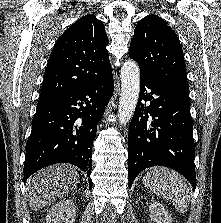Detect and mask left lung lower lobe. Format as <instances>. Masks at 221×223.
Masks as SVG:
<instances>
[{
	"mask_svg": "<svg viewBox=\"0 0 221 223\" xmlns=\"http://www.w3.org/2000/svg\"><path fill=\"white\" fill-rule=\"evenodd\" d=\"M139 102L128 138L129 188L151 166H166L196 187L193 121L187 92L141 76ZM150 102L144 105L141 101Z\"/></svg>",
	"mask_w": 221,
	"mask_h": 223,
	"instance_id": "obj_1",
	"label": "left lung lower lobe"
}]
</instances>
